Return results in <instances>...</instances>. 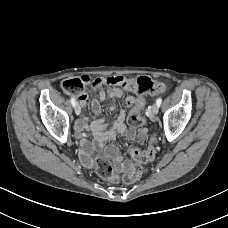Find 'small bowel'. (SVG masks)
I'll return each instance as SVG.
<instances>
[{
	"label": "small bowel",
	"instance_id": "obj_1",
	"mask_svg": "<svg viewBox=\"0 0 228 228\" xmlns=\"http://www.w3.org/2000/svg\"><path fill=\"white\" fill-rule=\"evenodd\" d=\"M124 78V77H123ZM87 84H91L94 79L90 77H83ZM102 80L104 79H95ZM109 90L101 91L98 97L92 100V110L98 114L101 111L100 102H105L108 104V108L113 110L116 107V100L123 95V91L117 87V85H110ZM130 92L133 90L128 89ZM80 106L84 108L87 104L88 95L87 93H82L77 96ZM137 102L136 98L131 94L126 99V104L121 107L120 114L112 126L107 127L106 120L104 118L97 119L91 124H88L87 119L82 115L75 123V130L78 137H82V132L85 129L90 130L94 135V142L92 144L88 143L85 139L81 140V146L85 154H88L93 148H104L105 153L113 159L115 168L117 170H122L124 167L122 155L119 150L113 145H105L107 141H111L116 138L119 134H125L129 140L138 139L140 143H144L147 138V129L140 128L136 130L132 127H127L125 123V117L128 108H136Z\"/></svg>",
	"mask_w": 228,
	"mask_h": 228
}]
</instances>
